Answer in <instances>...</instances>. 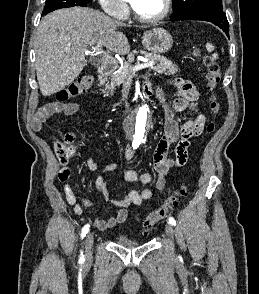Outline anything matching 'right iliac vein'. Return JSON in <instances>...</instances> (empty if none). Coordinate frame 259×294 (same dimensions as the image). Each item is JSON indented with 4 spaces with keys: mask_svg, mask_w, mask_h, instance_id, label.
<instances>
[{
    "mask_svg": "<svg viewBox=\"0 0 259 294\" xmlns=\"http://www.w3.org/2000/svg\"><path fill=\"white\" fill-rule=\"evenodd\" d=\"M94 236L93 233H89L85 240L86 245V259L90 260L92 256V246H93Z\"/></svg>",
    "mask_w": 259,
    "mask_h": 294,
    "instance_id": "63e3f726",
    "label": "right iliac vein"
}]
</instances>
